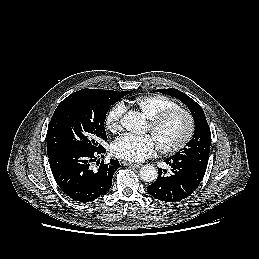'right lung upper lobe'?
Returning a JSON list of instances; mask_svg holds the SVG:
<instances>
[{
    "mask_svg": "<svg viewBox=\"0 0 259 259\" xmlns=\"http://www.w3.org/2000/svg\"><path fill=\"white\" fill-rule=\"evenodd\" d=\"M99 91L111 92V93H122V92H124V91H122V92H116V91H112V90H99Z\"/></svg>",
    "mask_w": 259,
    "mask_h": 259,
    "instance_id": "obj_1",
    "label": "right lung upper lobe"
}]
</instances>
